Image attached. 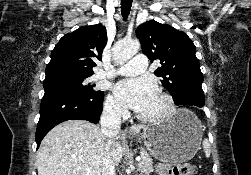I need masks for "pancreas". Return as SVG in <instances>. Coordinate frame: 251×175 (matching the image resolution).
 Here are the masks:
<instances>
[{
  "label": "pancreas",
  "instance_id": "1",
  "mask_svg": "<svg viewBox=\"0 0 251 175\" xmlns=\"http://www.w3.org/2000/svg\"><path fill=\"white\" fill-rule=\"evenodd\" d=\"M140 155H141V161H139V169H141L142 173H145V175H149V173L153 171L152 157L151 155H149L146 149H141Z\"/></svg>",
  "mask_w": 251,
  "mask_h": 175
}]
</instances>
